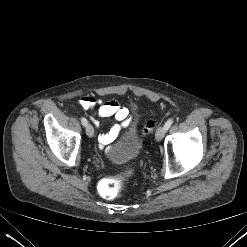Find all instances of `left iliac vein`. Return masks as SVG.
<instances>
[{"label": "left iliac vein", "mask_w": 247, "mask_h": 247, "mask_svg": "<svg viewBox=\"0 0 247 247\" xmlns=\"http://www.w3.org/2000/svg\"><path fill=\"white\" fill-rule=\"evenodd\" d=\"M165 133H166L165 127H164V126L159 127V128L157 129V131H156V134H155L156 140H157V141H161L162 138L164 137Z\"/></svg>", "instance_id": "4c4485c4"}]
</instances>
